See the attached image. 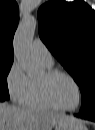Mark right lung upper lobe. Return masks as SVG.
Here are the masks:
<instances>
[{
	"mask_svg": "<svg viewBox=\"0 0 95 130\" xmlns=\"http://www.w3.org/2000/svg\"><path fill=\"white\" fill-rule=\"evenodd\" d=\"M19 10L14 0H0V62H13V37Z\"/></svg>",
	"mask_w": 95,
	"mask_h": 130,
	"instance_id": "1",
	"label": "right lung upper lobe"
}]
</instances>
